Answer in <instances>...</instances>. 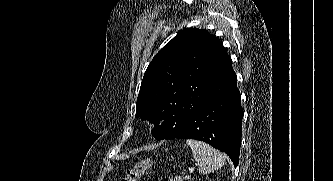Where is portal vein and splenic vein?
Segmentation results:
<instances>
[{
  "mask_svg": "<svg viewBox=\"0 0 333 181\" xmlns=\"http://www.w3.org/2000/svg\"><path fill=\"white\" fill-rule=\"evenodd\" d=\"M190 178H191L190 175H185V176H184V179H185V180H189Z\"/></svg>",
  "mask_w": 333,
  "mask_h": 181,
  "instance_id": "18ae733b",
  "label": "portal vein and splenic vein"
}]
</instances>
